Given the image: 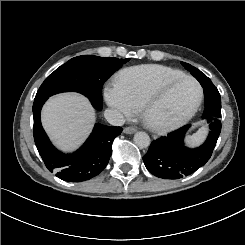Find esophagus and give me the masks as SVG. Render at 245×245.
Returning <instances> with one entry per match:
<instances>
[{
    "label": "esophagus",
    "instance_id": "34e87169",
    "mask_svg": "<svg viewBox=\"0 0 245 245\" xmlns=\"http://www.w3.org/2000/svg\"><path fill=\"white\" fill-rule=\"evenodd\" d=\"M136 128L134 127H125L123 132L126 133V134H133L136 132Z\"/></svg>",
    "mask_w": 245,
    "mask_h": 245
}]
</instances>
